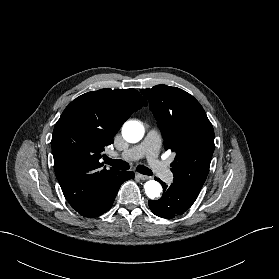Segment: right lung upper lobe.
Segmentation results:
<instances>
[{"mask_svg":"<svg viewBox=\"0 0 279 279\" xmlns=\"http://www.w3.org/2000/svg\"><path fill=\"white\" fill-rule=\"evenodd\" d=\"M146 105L135 89H100L77 97L63 111L51 142L54 169L76 211L88 207L103 182L119 172L102 167V152L129 116Z\"/></svg>","mask_w":279,"mask_h":279,"instance_id":"1","label":"right lung upper lobe"}]
</instances>
